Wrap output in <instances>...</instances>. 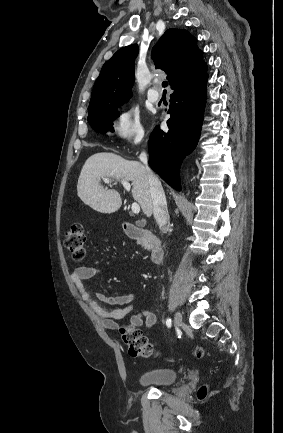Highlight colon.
<instances>
[{"instance_id":"5ec220e1","label":"colon","mask_w":283,"mask_h":433,"mask_svg":"<svg viewBox=\"0 0 283 433\" xmlns=\"http://www.w3.org/2000/svg\"><path fill=\"white\" fill-rule=\"evenodd\" d=\"M65 247L68 249L71 257L75 261H83L86 256V234L82 224L74 223L66 233L64 238ZM120 335L124 344L128 347V353L131 357L150 358L156 356L157 352L146 336L140 329L126 324L121 326ZM198 358L204 355V350H196ZM207 389L202 387L198 391L200 399L205 398Z\"/></svg>"}]
</instances>
